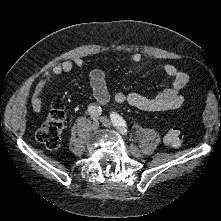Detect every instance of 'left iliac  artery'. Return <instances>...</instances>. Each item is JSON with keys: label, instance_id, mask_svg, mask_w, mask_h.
<instances>
[{"label": "left iliac artery", "instance_id": "left-iliac-artery-1", "mask_svg": "<svg viewBox=\"0 0 221 221\" xmlns=\"http://www.w3.org/2000/svg\"><path fill=\"white\" fill-rule=\"evenodd\" d=\"M111 117V121L113 123V125L119 129V131L122 133V134H126L127 133V124L125 122V120L118 114L116 113H113L110 115Z\"/></svg>", "mask_w": 221, "mask_h": 221}]
</instances>
